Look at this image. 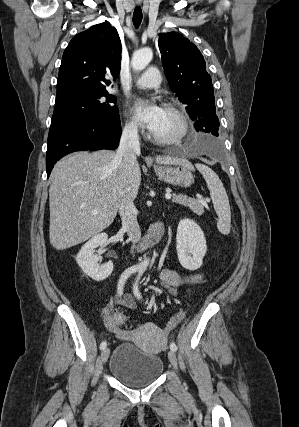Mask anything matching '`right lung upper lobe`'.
Listing matches in <instances>:
<instances>
[{
	"label": "right lung upper lobe",
	"mask_w": 299,
	"mask_h": 427,
	"mask_svg": "<svg viewBox=\"0 0 299 427\" xmlns=\"http://www.w3.org/2000/svg\"><path fill=\"white\" fill-rule=\"evenodd\" d=\"M121 41L117 30L101 23L75 35L64 51L56 101L84 93L106 91L120 72Z\"/></svg>",
	"instance_id": "cb5924a9"
}]
</instances>
